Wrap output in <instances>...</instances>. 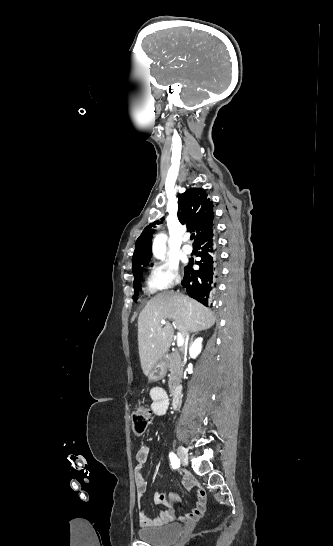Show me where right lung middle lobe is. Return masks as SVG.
<instances>
[{
    "label": "right lung middle lobe",
    "instance_id": "dd1d6c3e",
    "mask_svg": "<svg viewBox=\"0 0 333 546\" xmlns=\"http://www.w3.org/2000/svg\"><path fill=\"white\" fill-rule=\"evenodd\" d=\"M140 278H139V274H137L136 276H134V290H135V294L133 296V300H136L137 299V296H138V292H139V285H140Z\"/></svg>",
    "mask_w": 333,
    "mask_h": 546
}]
</instances>
